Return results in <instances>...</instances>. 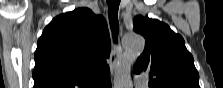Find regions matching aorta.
Segmentation results:
<instances>
[{
	"label": "aorta",
	"mask_w": 223,
	"mask_h": 88,
	"mask_svg": "<svg viewBox=\"0 0 223 88\" xmlns=\"http://www.w3.org/2000/svg\"><path fill=\"white\" fill-rule=\"evenodd\" d=\"M144 46V38L140 35L129 34L124 38L125 52L115 70L114 88L131 87V65L143 52Z\"/></svg>",
	"instance_id": "1"
}]
</instances>
